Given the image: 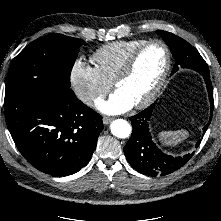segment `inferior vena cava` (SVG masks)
<instances>
[{"label":"inferior vena cava","mask_w":221,"mask_h":221,"mask_svg":"<svg viewBox=\"0 0 221 221\" xmlns=\"http://www.w3.org/2000/svg\"><path fill=\"white\" fill-rule=\"evenodd\" d=\"M96 94L92 93V92H86L81 96V100L87 104L90 105L92 104V102L94 101V99L96 98Z\"/></svg>","instance_id":"602c4592"}]
</instances>
